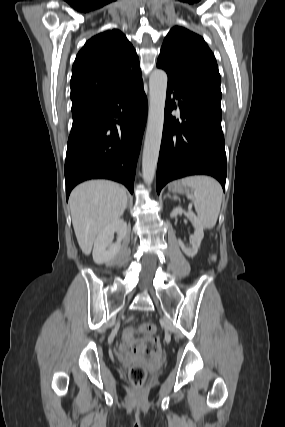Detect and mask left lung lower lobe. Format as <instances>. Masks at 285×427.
<instances>
[{
    "instance_id": "0a47b994",
    "label": "left lung lower lobe",
    "mask_w": 285,
    "mask_h": 427,
    "mask_svg": "<svg viewBox=\"0 0 285 427\" xmlns=\"http://www.w3.org/2000/svg\"><path fill=\"white\" fill-rule=\"evenodd\" d=\"M178 99L182 123L171 112ZM206 174L225 189L227 163L221 128V106L168 82L162 142L157 166L156 189L175 179Z\"/></svg>"
}]
</instances>
